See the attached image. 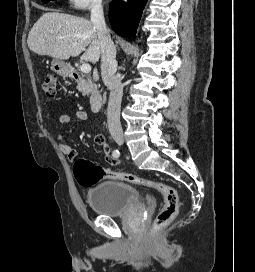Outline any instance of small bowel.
Wrapping results in <instances>:
<instances>
[{"mask_svg": "<svg viewBox=\"0 0 255 272\" xmlns=\"http://www.w3.org/2000/svg\"><path fill=\"white\" fill-rule=\"evenodd\" d=\"M76 118L81 122H86L88 120V115L83 110H78L76 112ZM58 121L61 124H69L71 122V117L67 114H61L58 117ZM55 140L59 146L60 151L66 155L70 160H74L77 156V151L71 147L70 145L65 143V135L63 133H57L55 136ZM94 141L97 145L101 146L105 155V159L115 165L116 160L110 155V148L106 141V137L99 133L94 137Z\"/></svg>", "mask_w": 255, "mask_h": 272, "instance_id": "obj_1", "label": "small bowel"}]
</instances>
